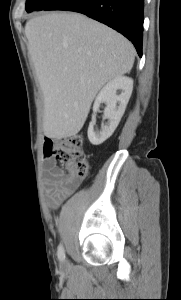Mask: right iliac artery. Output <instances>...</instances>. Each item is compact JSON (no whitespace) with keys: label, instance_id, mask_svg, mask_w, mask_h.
Wrapping results in <instances>:
<instances>
[{"label":"right iliac artery","instance_id":"82829eb1","mask_svg":"<svg viewBox=\"0 0 181 300\" xmlns=\"http://www.w3.org/2000/svg\"><path fill=\"white\" fill-rule=\"evenodd\" d=\"M57 255L60 261L63 262L65 260V252L62 245H59Z\"/></svg>","mask_w":181,"mask_h":300}]
</instances>
